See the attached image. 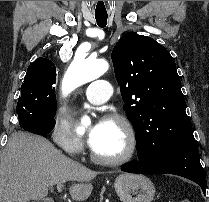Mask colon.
<instances>
[{"instance_id": "colon-1", "label": "colon", "mask_w": 209, "mask_h": 202, "mask_svg": "<svg viewBox=\"0 0 209 202\" xmlns=\"http://www.w3.org/2000/svg\"><path fill=\"white\" fill-rule=\"evenodd\" d=\"M178 202H191V201L190 200L183 199V200H180Z\"/></svg>"}]
</instances>
